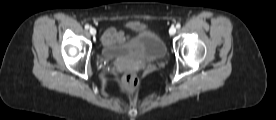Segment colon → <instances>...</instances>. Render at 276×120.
I'll return each instance as SVG.
<instances>
[{
  "label": "colon",
  "instance_id": "obj_1",
  "mask_svg": "<svg viewBox=\"0 0 276 120\" xmlns=\"http://www.w3.org/2000/svg\"><path fill=\"white\" fill-rule=\"evenodd\" d=\"M123 86L129 92H135L139 87V79L132 69L125 70L123 74Z\"/></svg>",
  "mask_w": 276,
  "mask_h": 120
}]
</instances>
